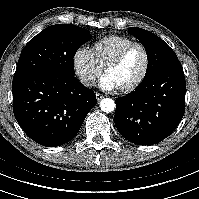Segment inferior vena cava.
Segmentation results:
<instances>
[{
  "label": "inferior vena cava",
  "instance_id": "602c4592",
  "mask_svg": "<svg viewBox=\"0 0 199 199\" xmlns=\"http://www.w3.org/2000/svg\"><path fill=\"white\" fill-rule=\"evenodd\" d=\"M80 82L88 87L94 84V80L89 77H80Z\"/></svg>",
  "mask_w": 199,
  "mask_h": 199
}]
</instances>
